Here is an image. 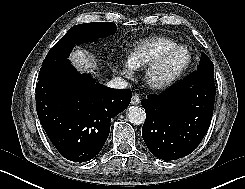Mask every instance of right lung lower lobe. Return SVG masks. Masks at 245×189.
Returning <instances> with one entry per match:
<instances>
[{"mask_svg":"<svg viewBox=\"0 0 245 189\" xmlns=\"http://www.w3.org/2000/svg\"><path fill=\"white\" fill-rule=\"evenodd\" d=\"M36 109L48 138L60 154L86 162L103 148L113 117L130 104L129 89H111L78 73L70 61L38 78Z\"/></svg>","mask_w":245,"mask_h":189,"instance_id":"obj_1","label":"right lung lower lobe"}]
</instances>
